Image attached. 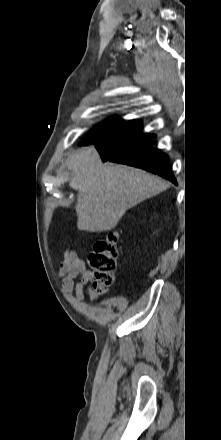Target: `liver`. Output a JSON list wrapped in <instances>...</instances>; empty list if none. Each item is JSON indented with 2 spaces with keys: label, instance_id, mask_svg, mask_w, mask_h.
<instances>
[{
  "label": "liver",
  "instance_id": "6515ba94",
  "mask_svg": "<svg viewBox=\"0 0 221 440\" xmlns=\"http://www.w3.org/2000/svg\"><path fill=\"white\" fill-rule=\"evenodd\" d=\"M69 186L78 191L77 227L104 232L115 228L128 209L169 187L157 176L133 167L102 163L94 147L72 155Z\"/></svg>",
  "mask_w": 221,
  "mask_h": 440
}]
</instances>
